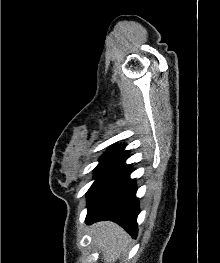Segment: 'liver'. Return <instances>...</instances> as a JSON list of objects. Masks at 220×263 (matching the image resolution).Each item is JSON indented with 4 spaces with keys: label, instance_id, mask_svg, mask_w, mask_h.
I'll return each instance as SVG.
<instances>
[{
    "label": "liver",
    "instance_id": "6515ba94",
    "mask_svg": "<svg viewBox=\"0 0 220 263\" xmlns=\"http://www.w3.org/2000/svg\"><path fill=\"white\" fill-rule=\"evenodd\" d=\"M93 241L102 253L105 263H115L127 251L130 236L116 223L102 221L91 229Z\"/></svg>",
    "mask_w": 220,
    "mask_h": 263
}]
</instances>
